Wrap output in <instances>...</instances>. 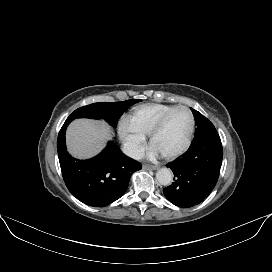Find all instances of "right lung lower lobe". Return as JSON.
<instances>
[{
	"mask_svg": "<svg viewBox=\"0 0 272 272\" xmlns=\"http://www.w3.org/2000/svg\"><path fill=\"white\" fill-rule=\"evenodd\" d=\"M72 120H66L57 139L62 176L68 190L81 202L104 207L119 199L127 190L133 172L141 164L127 157L113 142L89 160L73 158L65 146V131Z\"/></svg>",
	"mask_w": 272,
	"mask_h": 272,
	"instance_id": "right-lung-lower-lobe-1",
	"label": "right lung lower lobe"
}]
</instances>
